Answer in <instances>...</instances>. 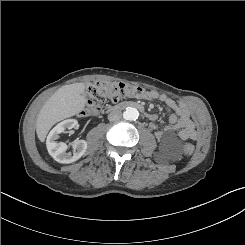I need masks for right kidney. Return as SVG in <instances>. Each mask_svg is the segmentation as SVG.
<instances>
[{
    "mask_svg": "<svg viewBox=\"0 0 245 245\" xmlns=\"http://www.w3.org/2000/svg\"><path fill=\"white\" fill-rule=\"evenodd\" d=\"M77 120L67 119L57 124L49 133L46 140L48 153L59 163L69 164L80 159L87 150V142L79 140L73 142V151L66 152L68 145L63 142H56L59 134L66 129H72L77 125Z\"/></svg>",
    "mask_w": 245,
    "mask_h": 245,
    "instance_id": "ca27d5eb",
    "label": "right kidney"
}]
</instances>
